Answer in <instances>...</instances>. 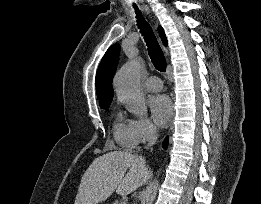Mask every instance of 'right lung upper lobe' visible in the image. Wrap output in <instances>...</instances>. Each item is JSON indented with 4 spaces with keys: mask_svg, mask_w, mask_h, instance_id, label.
Instances as JSON below:
<instances>
[{
    "mask_svg": "<svg viewBox=\"0 0 261 204\" xmlns=\"http://www.w3.org/2000/svg\"><path fill=\"white\" fill-rule=\"evenodd\" d=\"M159 29L163 44L167 45L165 33L161 27ZM120 53V45H112L103 56L96 75V91L99 104L111 102L113 99L112 80L117 68Z\"/></svg>",
    "mask_w": 261,
    "mask_h": 204,
    "instance_id": "obj_1",
    "label": "right lung upper lobe"
}]
</instances>
